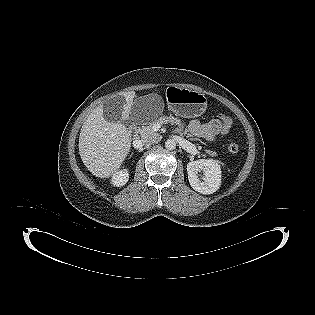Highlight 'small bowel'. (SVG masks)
Instances as JSON below:
<instances>
[{"label":"small bowel","instance_id":"obj_1","mask_svg":"<svg viewBox=\"0 0 315 315\" xmlns=\"http://www.w3.org/2000/svg\"><path fill=\"white\" fill-rule=\"evenodd\" d=\"M222 124L220 119H212L206 123L194 119L189 123L188 128L194 136L206 141H214L218 134L222 132Z\"/></svg>","mask_w":315,"mask_h":315}]
</instances>
